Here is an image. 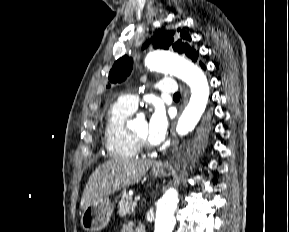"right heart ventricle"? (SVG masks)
Segmentation results:
<instances>
[{
  "label": "right heart ventricle",
  "instance_id": "1",
  "mask_svg": "<svg viewBox=\"0 0 289 232\" xmlns=\"http://www.w3.org/2000/svg\"><path fill=\"white\" fill-rule=\"evenodd\" d=\"M133 111L119 99L111 104L106 112L104 144L112 157L132 158L139 153V147L126 128V121Z\"/></svg>",
  "mask_w": 289,
  "mask_h": 232
}]
</instances>
